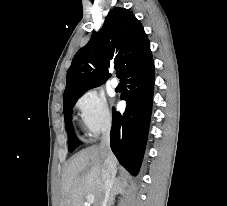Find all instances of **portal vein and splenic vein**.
I'll return each instance as SVG.
<instances>
[{
  "label": "portal vein and splenic vein",
  "instance_id": "1",
  "mask_svg": "<svg viewBox=\"0 0 227 206\" xmlns=\"http://www.w3.org/2000/svg\"><path fill=\"white\" fill-rule=\"evenodd\" d=\"M86 199L88 203H93L95 201V197L93 194H87Z\"/></svg>",
  "mask_w": 227,
  "mask_h": 206
}]
</instances>
